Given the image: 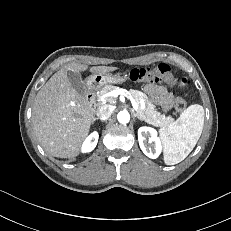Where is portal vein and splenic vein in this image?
Instances as JSON below:
<instances>
[{"label":"portal vein and splenic vein","instance_id":"1","mask_svg":"<svg viewBox=\"0 0 231 231\" xmlns=\"http://www.w3.org/2000/svg\"><path fill=\"white\" fill-rule=\"evenodd\" d=\"M118 95H124V96H126L130 100V102H131L134 110L138 111V107H139L138 103L136 102V100L134 99V97L127 90H125V89L113 90V91L108 92V93L104 94L103 96H101L100 99L102 101H105L107 98L117 97Z\"/></svg>","mask_w":231,"mask_h":231}]
</instances>
